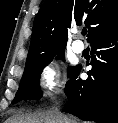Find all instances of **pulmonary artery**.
Wrapping results in <instances>:
<instances>
[{
    "mask_svg": "<svg viewBox=\"0 0 118 123\" xmlns=\"http://www.w3.org/2000/svg\"><path fill=\"white\" fill-rule=\"evenodd\" d=\"M72 49L75 53L81 54L85 49V45L83 44V42L77 40L73 42Z\"/></svg>",
    "mask_w": 118,
    "mask_h": 123,
    "instance_id": "1",
    "label": "pulmonary artery"
}]
</instances>
